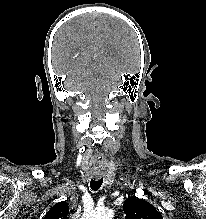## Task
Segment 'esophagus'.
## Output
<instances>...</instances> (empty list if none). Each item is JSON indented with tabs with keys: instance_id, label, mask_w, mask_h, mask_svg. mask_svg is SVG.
I'll list each match as a JSON object with an SVG mask.
<instances>
[{
	"instance_id": "obj_1",
	"label": "esophagus",
	"mask_w": 206,
	"mask_h": 219,
	"mask_svg": "<svg viewBox=\"0 0 206 219\" xmlns=\"http://www.w3.org/2000/svg\"><path fill=\"white\" fill-rule=\"evenodd\" d=\"M95 178H96V179H99V178H100V175H98V174L95 175Z\"/></svg>"
}]
</instances>
